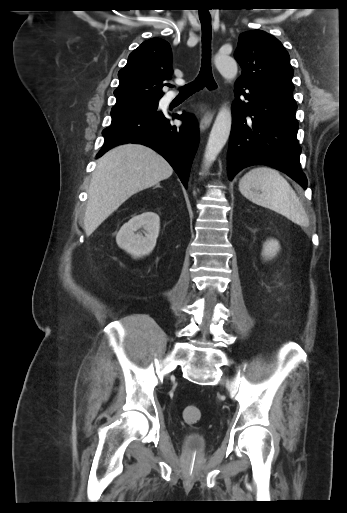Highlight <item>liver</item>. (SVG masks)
<instances>
[{
	"instance_id": "6515ba94",
	"label": "liver",
	"mask_w": 347,
	"mask_h": 513,
	"mask_svg": "<svg viewBox=\"0 0 347 513\" xmlns=\"http://www.w3.org/2000/svg\"><path fill=\"white\" fill-rule=\"evenodd\" d=\"M173 173L169 163L151 148L123 144L97 161L88 190L84 219L87 236L132 195L159 184Z\"/></svg>"
}]
</instances>
